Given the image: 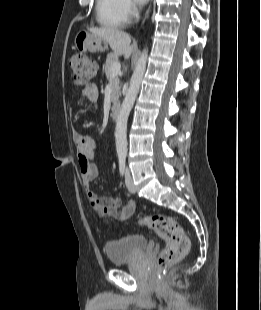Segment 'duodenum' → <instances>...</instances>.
Wrapping results in <instances>:
<instances>
[{"mask_svg": "<svg viewBox=\"0 0 261 310\" xmlns=\"http://www.w3.org/2000/svg\"><path fill=\"white\" fill-rule=\"evenodd\" d=\"M120 105L118 103H114L110 110V116L112 119H116L119 115Z\"/></svg>", "mask_w": 261, "mask_h": 310, "instance_id": "1", "label": "duodenum"}]
</instances>
